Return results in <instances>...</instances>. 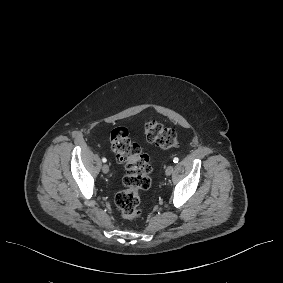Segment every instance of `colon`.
Masks as SVG:
<instances>
[{
	"label": "colon",
	"mask_w": 283,
	"mask_h": 283,
	"mask_svg": "<svg viewBox=\"0 0 283 283\" xmlns=\"http://www.w3.org/2000/svg\"><path fill=\"white\" fill-rule=\"evenodd\" d=\"M146 139L163 149L175 148L178 145L176 132L152 119L144 124ZM111 148L116 159L125 165L123 177L124 189L115 196V204L125 220L133 221L141 216L140 192L151 186V165L147 154L139 144L130 139L125 127L112 130L110 135Z\"/></svg>",
	"instance_id": "obj_1"
}]
</instances>
